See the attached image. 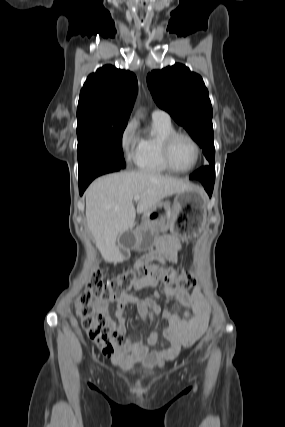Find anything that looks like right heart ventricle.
<instances>
[{"label": "right heart ventricle", "instance_id": "e07e8e85", "mask_svg": "<svg viewBox=\"0 0 285 427\" xmlns=\"http://www.w3.org/2000/svg\"><path fill=\"white\" fill-rule=\"evenodd\" d=\"M174 131L171 120L152 119L150 130L139 138L133 158L139 170L154 174L170 172L163 162L161 147L164 138Z\"/></svg>", "mask_w": 285, "mask_h": 427}]
</instances>
